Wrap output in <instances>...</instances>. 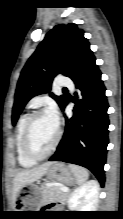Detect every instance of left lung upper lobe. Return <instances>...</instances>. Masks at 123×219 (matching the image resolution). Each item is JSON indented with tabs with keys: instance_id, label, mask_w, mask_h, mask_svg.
<instances>
[{
	"instance_id": "5c2ea615",
	"label": "left lung upper lobe",
	"mask_w": 123,
	"mask_h": 219,
	"mask_svg": "<svg viewBox=\"0 0 123 219\" xmlns=\"http://www.w3.org/2000/svg\"><path fill=\"white\" fill-rule=\"evenodd\" d=\"M92 57L88 40L76 24H60L49 31L21 72L12 110L13 124L32 97L50 91L55 76L62 74L72 79ZM50 96L62 109L66 97L53 93Z\"/></svg>"
}]
</instances>
